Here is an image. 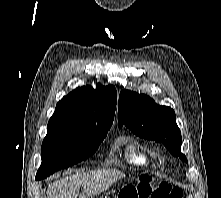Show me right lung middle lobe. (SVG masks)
<instances>
[{
  "mask_svg": "<svg viewBox=\"0 0 221 198\" xmlns=\"http://www.w3.org/2000/svg\"><path fill=\"white\" fill-rule=\"evenodd\" d=\"M109 129L103 127L83 134L47 132L41 147L42 163L35 179H44L55 171L86 160L98 149Z\"/></svg>",
  "mask_w": 221,
  "mask_h": 198,
  "instance_id": "obj_1",
  "label": "right lung middle lobe"
}]
</instances>
